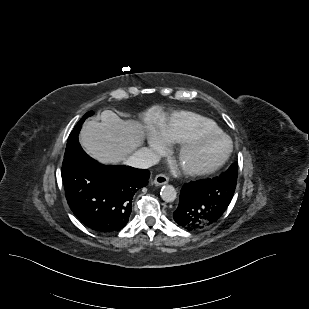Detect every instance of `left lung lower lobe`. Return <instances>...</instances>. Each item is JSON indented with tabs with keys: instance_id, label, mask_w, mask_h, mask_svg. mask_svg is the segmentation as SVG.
Wrapping results in <instances>:
<instances>
[{
	"instance_id": "obj_1",
	"label": "left lung lower lobe",
	"mask_w": 309,
	"mask_h": 309,
	"mask_svg": "<svg viewBox=\"0 0 309 309\" xmlns=\"http://www.w3.org/2000/svg\"><path fill=\"white\" fill-rule=\"evenodd\" d=\"M235 189L236 181L219 177L184 184L174 220L189 231L214 225L229 206Z\"/></svg>"
}]
</instances>
